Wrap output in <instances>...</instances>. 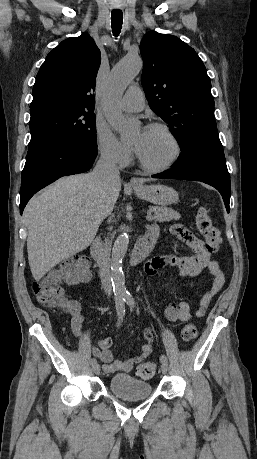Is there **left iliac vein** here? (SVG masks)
I'll use <instances>...</instances> for the list:
<instances>
[{"mask_svg": "<svg viewBox=\"0 0 257 459\" xmlns=\"http://www.w3.org/2000/svg\"><path fill=\"white\" fill-rule=\"evenodd\" d=\"M167 370H168V365L167 363H161V371L163 374H166L167 373Z\"/></svg>", "mask_w": 257, "mask_h": 459, "instance_id": "left-iliac-vein-1", "label": "left iliac vein"}]
</instances>
